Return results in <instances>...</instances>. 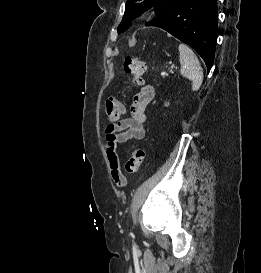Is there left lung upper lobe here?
<instances>
[{
	"mask_svg": "<svg viewBox=\"0 0 261 273\" xmlns=\"http://www.w3.org/2000/svg\"><path fill=\"white\" fill-rule=\"evenodd\" d=\"M173 0H128L125 5V14L119 24L118 33L126 31L134 18L139 16L146 9L154 6L156 13L166 9Z\"/></svg>",
	"mask_w": 261,
	"mask_h": 273,
	"instance_id": "obj_1",
	"label": "left lung upper lobe"
}]
</instances>
